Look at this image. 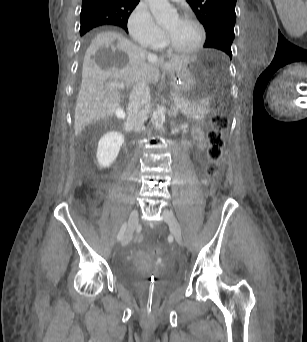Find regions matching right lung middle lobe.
Here are the masks:
<instances>
[{
	"mask_svg": "<svg viewBox=\"0 0 307 342\" xmlns=\"http://www.w3.org/2000/svg\"><path fill=\"white\" fill-rule=\"evenodd\" d=\"M114 16L100 11H81L80 15V34L83 35L87 31L101 25H107L113 23Z\"/></svg>",
	"mask_w": 307,
	"mask_h": 342,
	"instance_id": "obj_1",
	"label": "right lung middle lobe"
}]
</instances>
